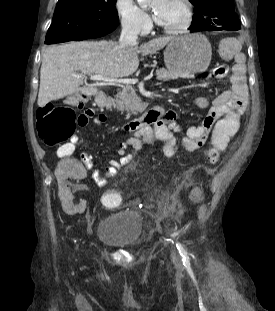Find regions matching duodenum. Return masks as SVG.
Masks as SVG:
<instances>
[{"label": "duodenum", "instance_id": "obj_1", "mask_svg": "<svg viewBox=\"0 0 275 311\" xmlns=\"http://www.w3.org/2000/svg\"><path fill=\"white\" fill-rule=\"evenodd\" d=\"M97 101L98 103L102 105H111L112 103V98L106 97L102 91H100L97 94ZM164 108L161 106L154 107L151 111L154 112V110H163ZM149 111L147 114H145L142 117L136 118L135 120L129 122L126 124L125 129L128 131L135 130L137 128H142L146 126V119H148Z\"/></svg>", "mask_w": 275, "mask_h": 311}]
</instances>
